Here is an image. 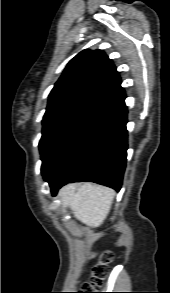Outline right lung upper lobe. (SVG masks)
Masks as SVG:
<instances>
[{"instance_id": "right-lung-upper-lobe-1", "label": "right lung upper lobe", "mask_w": 170, "mask_h": 293, "mask_svg": "<svg viewBox=\"0 0 170 293\" xmlns=\"http://www.w3.org/2000/svg\"><path fill=\"white\" fill-rule=\"evenodd\" d=\"M125 99L121 80L102 50H83L66 66L52 89L44 119L75 106L113 108Z\"/></svg>"}]
</instances>
